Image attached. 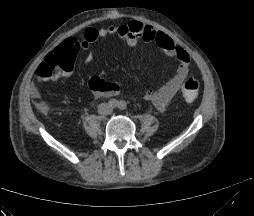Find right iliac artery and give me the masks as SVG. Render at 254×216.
Masks as SVG:
<instances>
[{
  "label": "right iliac artery",
  "mask_w": 254,
  "mask_h": 216,
  "mask_svg": "<svg viewBox=\"0 0 254 216\" xmlns=\"http://www.w3.org/2000/svg\"><path fill=\"white\" fill-rule=\"evenodd\" d=\"M108 104L111 107H116L118 104V101L116 99H111V100H109Z\"/></svg>",
  "instance_id": "82829eb1"
}]
</instances>
